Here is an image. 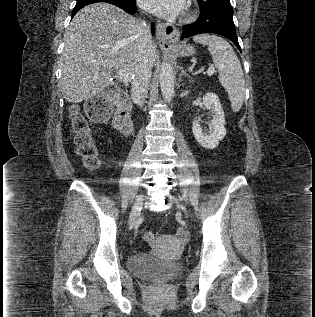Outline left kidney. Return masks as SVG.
<instances>
[{"mask_svg":"<svg viewBox=\"0 0 315 317\" xmlns=\"http://www.w3.org/2000/svg\"><path fill=\"white\" fill-rule=\"evenodd\" d=\"M203 104L212 113V120L209 124V133H204L198 120L194 119L192 131L197 142L204 148L214 149L219 145V141L226 135L225 117L220 100L215 93H207L203 97Z\"/></svg>","mask_w":315,"mask_h":317,"instance_id":"1","label":"left kidney"}]
</instances>
